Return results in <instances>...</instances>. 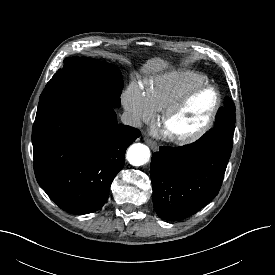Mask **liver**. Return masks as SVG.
<instances>
[{"label":"liver","mask_w":275,"mask_h":275,"mask_svg":"<svg viewBox=\"0 0 275 275\" xmlns=\"http://www.w3.org/2000/svg\"><path fill=\"white\" fill-rule=\"evenodd\" d=\"M168 67V63L160 58H153L147 61L143 67V71H160Z\"/></svg>","instance_id":"obj_1"}]
</instances>
